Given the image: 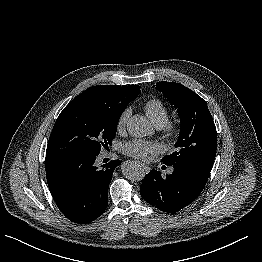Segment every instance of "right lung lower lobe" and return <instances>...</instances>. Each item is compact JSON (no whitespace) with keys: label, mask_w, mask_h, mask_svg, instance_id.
<instances>
[{"label":"right lung lower lobe","mask_w":262,"mask_h":262,"mask_svg":"<svg viewBox=\"0 0 262 262\" xmlns=\"http://www.w3.org/2000/svg\"><path fill=\"white\" fill-rule=\"evenodd\" d=\"M97 155L46 153V176L53 199L70 221L78 224L98 218L107 207L108 186L114 169L112 160L96 166Z\"/></svg>","instance_id":"1"}]
</instances>
